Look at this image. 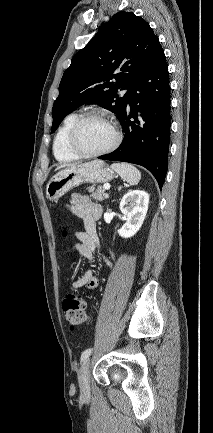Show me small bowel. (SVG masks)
Returning <instances> with one entry per match:
<instances>
[{
    "mask_svg": "<svg viewBox=\"0 0 213 433\" xmlns=\"http://www.w3.org/2000/svg\"><path fill=\"white\" fill-rule=\"evenodd\" d=\"M69 209L73 215L84 224V231L75 232V237L78 242L73 245L72 249L84 256L90 262H93L94 255L99 247L95 221L101 214V207L87 197L74 194L72 195ZM103 258L106 265L110 268L112 266L111 261L105 256H103ZM97 285L98 279L95 275L93 266L91 265L84 272L82 277L75 279L70 283V288L79 289L86 286L88 289H95Z\"/></svg>",
    "mask_w": 213,
    "mask_h": 433,
    "instance_id": "c3829d8e",
    "label": "small bowel"
}]
</instances>
